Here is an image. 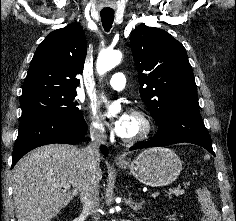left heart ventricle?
Masks as SVG:
<instances>
[{"label":"left heart ventricle","mask_w":236,"mask_h":221,"mask_svg":"<svg viewBox=\"0 0 236 221\" xmlns=\"http://www.w3.org/2000/svg\"><path fill=\"white\" fill-rule=\"evenodd\" d=\"M141 128V121L136 116L131 115L130 124L124 137H132L137 135L141 131Z\"/></svg>","instance_id":"obj_1"}]
</instances>
